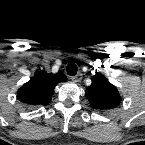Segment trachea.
Returning a JSON list of instances; mask_svg holds the SVG:
<instances>
[{
	"instance_id": "3493384b",
	"label": "trachea",
	"mask_w": 145,
	"mask_h": 145,
	"mask_svg": "<svg viewBox=\"0 0 145 145\" xmlns=\"http://www.w3.org/2000/svg\"><path fill=\"white\" fill-rule=\"evenodd\" d=\"M66 70L68 75L75 76L77 74L78 68L74 62H69Z\"/></svg>"
}]
</instances>
